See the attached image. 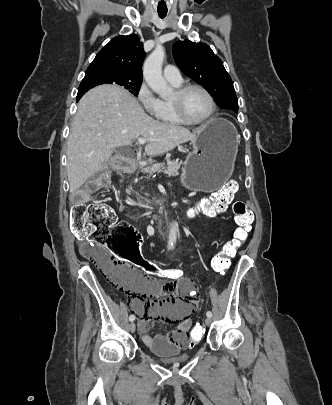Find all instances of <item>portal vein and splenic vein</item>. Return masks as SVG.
<instances>
[{
    "label": "portal vein and splenic vein",
    "mask_w": 332,
    "mask_h": 405,
    "mask_svg": "<svg viewBox=\"0 0 332 405\" xmlns=\"http://www.w3.org/2000/svg\"><path fill=\"white\" fill-rule=\"evenodd\" d=\"M147 142V139H145V138H138V144L139 145H143V144H145Z\"/></svg>",
    "instance_id": "1"
}]
</instances>
